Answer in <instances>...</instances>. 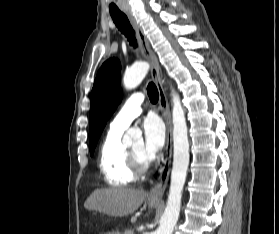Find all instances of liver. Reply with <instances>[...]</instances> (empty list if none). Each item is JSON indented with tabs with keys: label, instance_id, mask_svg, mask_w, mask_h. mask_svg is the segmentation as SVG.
Wrapping results in <instances>:
<instances>
[{
	"label": "liver",
	"instance_id": "liver-1",
	"mask_svg": "<svg viewBox=\"0 0 279 234\" xmlns=\"http://www.w3.org/2000/svg\"><path fill=\"white\" fill-rule=\"evenodd\" d=\"M147 195L143 189L126 187L96 189L85 201L84 207L108 216L123 217L135 212Z\"/></svg>",
	"mask_w": 279,
	"mask_h": 234
}]
</instances>
